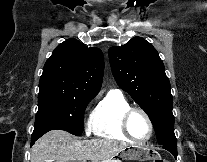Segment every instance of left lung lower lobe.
Listing matches in <instances>:
<instances>
[{
  "label": "left lung lower lobe",
  "instance_id": "1",
  "mask_svg": "<svg viewBox=\"0 0 207 162\" xmlns=\"http://www.w3.org/2000/svg\"><path fill=\"white\" fill-rule=\"evenodd\" d=\"M162 147L173 154V156L177 159V141L172 140L170 142L161 144Z\"/></svg>",
  "mask_w": 207,
  "mask_h": 162
}]
</instances>
